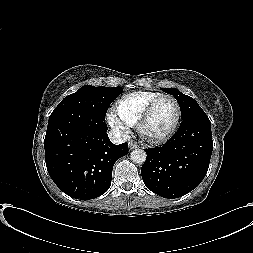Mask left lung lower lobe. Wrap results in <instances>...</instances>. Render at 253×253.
<instances>
[{
	"mask_svg": "<svg viewBox=\"0 0 253 253\" xmlns=\"http://www.w3.org/2000/svg\"><path fill=\"white\" fill-rule=\"evenodd\" d=\"M212 150L208 116L186 118L168 143L145 149L147 160L141 168L144 184L164 198L181 197L197 187L205 177Z\"/></svg>",
	"mask_w": 253,
	"mask_h": 253,
	"instance_id": "obj_1",
	"label": "left lung lower lobe"
}]
</instances>
